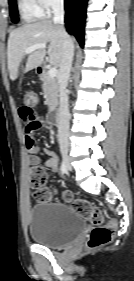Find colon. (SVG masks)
Masks as SVG:
<instances>
[{"mask_svg":"<svg viewBox=\"0 0 134 281\" xmlns=\"http://www.w3.org/2000/svg\"><path fill=\"white\" fill-rule=\"evenodd\" d=\"M37 103V94L34 91H28L24 97V104L33 108ZM29 181L31 187L35 190V197L38 201L44 202L53 199V194L46 185L47 175L41 167L32 168ZM62 200L94 224V228L87 240L89 248L93 249L106 245L113 239L116 224L113 220L105 221L104 214L100 208L88 200L74 199L68 193L62 196Z\"/></svg>","mask_w":134,"mask_h":281,"instance_id":"1","label":"colon"}]
</instances>
